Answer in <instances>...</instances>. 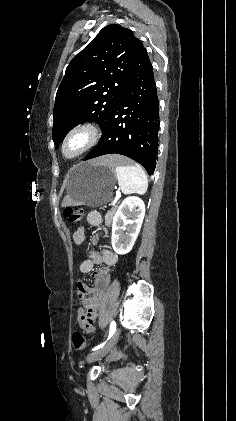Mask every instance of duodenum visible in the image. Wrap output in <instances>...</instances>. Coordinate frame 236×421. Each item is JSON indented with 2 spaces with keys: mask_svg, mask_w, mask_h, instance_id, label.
<instances>
[{
  "mask_svg": "<svg viewBox=\"0 0 236 421\" xmlns=\"http://www.w3.org/2000/svg\"><path fill=\"white\" fill-rule=\"evenodd\" d=\"M92 260L93 262L99 260L106 265V267L96 270L97 285L91 292L87 291L83 298L84 304L87 305V309L91 314L90 316L94 317L99 309L103 292L109 280L108 267L116 263L117 255L111 250H105L101 256H93ZM88 293H91V295L87 296ZM83 319H86V314H83Z\"/></svg>",
  "mask_w": 236,
  "mask_h": 421,
  "instance_id": "1",
  "label": "duodenum"
}]
</instances>
